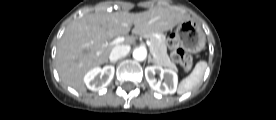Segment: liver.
Returning a JSON list of instances; mask_svg holds the SVG:
<instances>
[{
  "instance_id": "obj_1",
  "label": "liver",
  "mask_w": 276,
  "mask_h": 120,
  "mask_svg": "<svg viewBox=\"0 0 276 120\" xmlns=\"http://www.w3.org/2000/svg\"><path fill=\"white\" fill-rule=\"evenodd\" d=\"M190 18L175 8L155 7L140 13L96 12L74 20L65 30L57 48L56 67L62 82L80 93L86 92L84 75L108 61L112 47L106 43L116 36L133 33L150 36L171 30ZM135 38L128 37L130 45Z\"/></svg>"
}]
</instances>
